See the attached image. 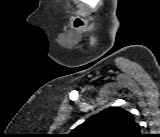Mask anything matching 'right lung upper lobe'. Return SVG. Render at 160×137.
<instances>
[{
	"label": "right lung upper lobe",
	"instance_id": "1",
	"mask_svg": "<svg viewBox=\"0 0 160 137\" xmlns=\"http://www.w3.org/2000/svg\"><path fill=\"white\" fill-rule=\"evenodd\" d=\"M140 125L131 113L120 107H110L76 127L74 137H138Z\"/></svg>",
	"mask_w": 160,
	"mask_h": 137
}]
</instances>
